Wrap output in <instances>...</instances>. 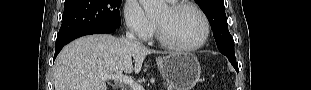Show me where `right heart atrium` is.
I'll return each mask as SVG.
<instances>
[{
	"mask_svg": "<svg viewBox=\"0 0 311 90\" xmlns=\"http://www.w3.org/2000/svg\"><path fill=\"white\" fill-rule=\"evenodd\" d=\"M127 29L141 40L152 37L155 25L137 0H128L124 9Z\"/></svg>",
	"mask_w": 311,
	"mask_h": 90,
	"instance_id": "d8ad5b80",
	"label": "right heart atrium"
}]
</instances>
